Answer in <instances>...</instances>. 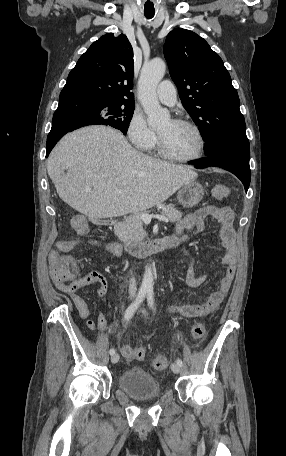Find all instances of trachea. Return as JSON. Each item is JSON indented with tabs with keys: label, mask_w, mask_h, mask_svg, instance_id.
<instances>
[{
	"label": "trachea",
	"mask_w": 286,
	"mask_h": 456,
	"mask_svg": "<svg viewBox=\"0 0 286 456\" xmlns=\"http://www.w3.org/2000/svg\"><path fill=\"white\" fill-rule=\"evenodd\" d=\"M144 14H145L146 18H148V19H151L154 16V13L145 12Z\"/></svg>",
	"instance_id": "3493384b"
}]
</instances>
